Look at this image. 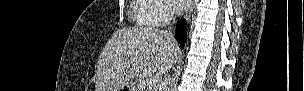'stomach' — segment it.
Returning <instances> with one entry per match:
<instances>
[{
	"instance_id": "0dacf381",
	"label": "stomach",
	"mask_w": 304,
	"mask_h": 91,
	"mask_svg": "<svg viewBox=\"0 0 304 91\" xmlns=\"http://www.w3.org/2000/svg\"><path fill=\"white\" fill-rule=\"evenodd\" d=\"M121 90L136 91L134 88H132L130 86H124V87H122Z\"/></svg>"
}]
</instances>
